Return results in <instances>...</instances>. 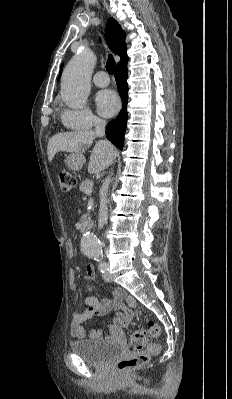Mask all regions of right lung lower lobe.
Wrapping results in <instances>:
<instances>
[{
  "label": "right lung lower lobe",
  "instance_id": "1",
  "mask_svg": "<svg viewBox=\"0 0 232 399\" xmlns=\"http://www.w3.org/2000/svg\"><path fill=\"white\" fill-rule=\"evenodd\" d=\"M127 60H124L117 64L115 70V79L119 94L122 99V109L115 120L108 123L106 128V137L116 147L122 150L124 144V134L127 124V103H128V85H127Z\"/></svg>",
  "mask_w": 232,
  "mask_h": 399
}]
</instances>
